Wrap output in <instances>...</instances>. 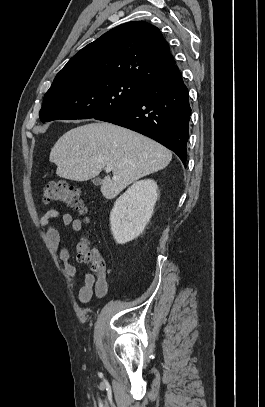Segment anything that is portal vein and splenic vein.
<instances>
[{
    "instance_id": "1",
    "label": "portal vein and splenic vein",
    "mask_w": 265,
    "mask_h": 407,
    "mask_svg": "<svg viewBox=\"0 0 265 407\" xmlns=\"http://www.w3.org/2000/svg\"><path fill=\"white\" fill-rule=\"evenodd\" d=\"M105 170H106V172H110V171H111V167H106Z\"/></svg>"
}]
</instances>
